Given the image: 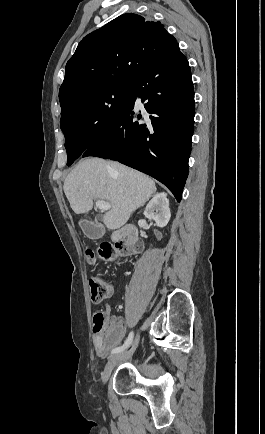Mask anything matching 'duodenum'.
I'll list each match as a JSON object with an SVG mask.
<instances>
[{"mask_svg": "<svg viewBox=\"0 0 265 434\" xmlns=\"http://www.w3.org/2000/svg\"><path fill=\"white\" fill-rule=\"evenodd\" d=\"M132 229H136V228L132 226H126L122 229L114 231L111 236V241L115 242L119 239H125L126 241H128V238H130L129 233L131 232Z\"/></svg>", "mask_w": 265, "mask_h": 434, "instance_id": "obj_1", "label": "duodenum"}]
</instances>
